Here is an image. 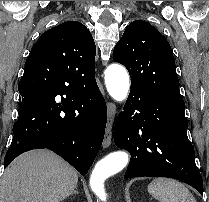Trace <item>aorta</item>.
<instances>
[{
  "instance_id": "762f6f07",
  "label": "aorta",
  "mask_w": 209,
  "mask_h": 202,
  "mask_svg": "<svg viewBox=\"0 0 209 202\" xmlns=\"http://www.w3.org/2000/svg\"><path fill=\"white\" fill-rule=\"evenodd\" d=\"M106 88L110 96L122 102L127 98L129 91V75L127 70L119 64H111L105 71ZM129 162V155L125 151H115L108 154L95 165L90 176V187L101 200H107L104 181L121 171Z\"/></svg>"
}]
</instances>
